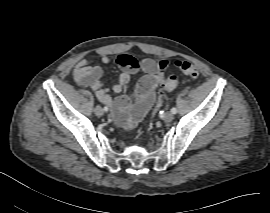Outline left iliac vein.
<instances>
[{
	"label": "left iliac vein",
	"mask_w": 270,
	"mask_h": 213,
	"mask_svg": "<svg viewBox=\"0 0 270 213\" xmlns=\"http://www.w3.org/2000/svg\"><path fill=\"white\" fill-rule=\"evenodd\" d=\"M173 119H174V115H173V113L170 112V111L166 112V113L164 114V116H163V120H164L165 122H171Z\"/></svg>",
	"instance_id": "left-iliac-vein-1"
}]
</instances>
